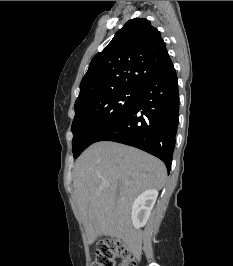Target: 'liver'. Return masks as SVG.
Masks as SVG:
<instances>
[{
    "instance_id": "liver-1",
    "label": "liver",
    "mask_w": 233,
    "mask_h": 266,
    "mask_svg": "<svg viewBox=\"0 0 233 266\" xmlns=\"http://www.w3.org/2000/svg\"><path fill=\"white\" fill-rule=\"evenodd\" d=\"M166 174L162 161L137 148L111 141L88 147L74 165L73 187L89 242L111 236L133 246V201L144 190L161 189Z\"/></svg>"
}]
</instances>
